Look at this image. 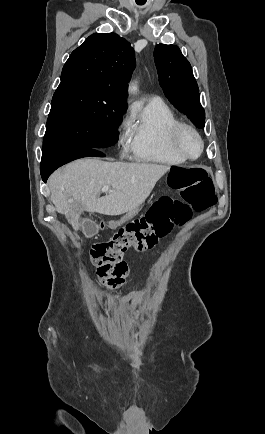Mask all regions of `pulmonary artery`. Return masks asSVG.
Instances as JSON below:
<instances>
[{
  "instance_id": "e3ab8cb5",
  "label": "pulmonary artery",
  "mask_w": 265,
  "mask_h": 434,
  "mask_svg": "<svg viewBox=\"0 0 265 434\" xmlns=\"http://www.w3.org/2000/svg\"><path fill=\"white\" fill-rule=\"evenodd\" d=\"M155 97H157V94H154V97H152V100H155Z\"/></svg>"
}]
</instances>
